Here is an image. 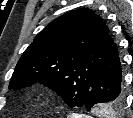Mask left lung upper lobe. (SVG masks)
Listing matches in <instances>:
<instances>
[{
    "mask_svg": "<svg viewBox=\"0 0 133 118\" xmlns=\"http://www.w3.org/2000/svg\"><path fill=\"white\" fill-rule=\"evenodd\" d=\"M113 45L101 17L89 9L66 13L49 23L24 51L9 89L40 82L56 91L68 106L82 107ZM123 104L115 100L103 108L118 112Z\"/></svg>",
    "mask_w": 133,
    "mask_h": 118,
    "instance_id": "left-lung-upper-lobe-1",
    "label": "left lung upper lobe"
}]
</instances>
